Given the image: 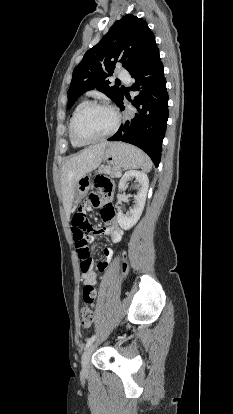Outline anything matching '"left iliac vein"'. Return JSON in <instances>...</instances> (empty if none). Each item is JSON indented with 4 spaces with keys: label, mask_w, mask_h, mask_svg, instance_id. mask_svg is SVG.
Masks as SVG:
<instances>
[{
    "label": "left iliac vein",
    "mask_w": 233,
    "mask_h": 414,
    "mask_svg": "<svg viewBox=\"0 0 233 414\" xmlns=\"http://www.w3.org/2000/svg\"><path fill=\"white\" fill-rule=\"evenodd\" d=\"M94 349H95V345H91L90 347L87 348V350L84 352V354L82 356V372H83V374L88 373L89 362H90V358H91V355H92Z\"/></svg>",
    "instance_id": "left-iliac-vein-1"
}]
</instances>
